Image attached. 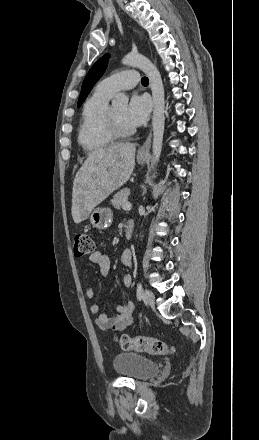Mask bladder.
Here are the masks:
<instances>
[{
	"label": "bladder",
	"mask_w": 259,
	"mask_h": 440,
	"mask_svg": "<svg viewBox=\"0 0 259 440\" xmlns=\"http://www.w3.org/2000/svg\"><path fill=\"white\" fill-rule=\"evenodd\" d=\"M113 367L117 374L134 380H146L160 370L157 362L135 352L117 354L113 360Z\"/></svg>",
	"instance_id": "obj_1"
}]
</instances>
